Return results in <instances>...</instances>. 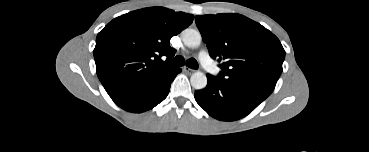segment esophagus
I'll use <instances>...</instances> for the list:
<instances>
[{"instance_id":"1","label":"esophagus","mask_w":369,"mask_h":152,"mask_svg":"<svg viewBox=\"0 0 369 152\" xmlns=\"http://www.w3.org/2000/svg\"><path fill=\"white\" fill-rule=\"evenodd\" d=\"M183 71H184L185 73H187V74H191V73H193L195 70L185 66V67H183Z\"/></svg>"}]
</instances>
